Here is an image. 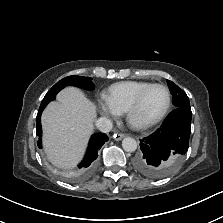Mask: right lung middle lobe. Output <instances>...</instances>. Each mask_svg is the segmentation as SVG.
Returning a JSON list of instances; mask_svg holds the SVG:
<instances>
[{
    "label": "right lung middle lobe",
    "instance_id": "obj_1",
    "mask_svg": "<svg viewBox=\"0 0 223 223\" xmlns=\"http://www.w3.org/2000/svg\"><path fill=\"white\" fill-rule=\"evenodd\" d=\"M68 85H73L76 87H80L86 90L94 89V84L92 82V78L84 77V76H68L63 78L59 82H57L45 95L42 100V103L49 102L55 99L56 94Z\"/></svg>",
    "mask_w": 223,
    "mask_h": 223
}]
</instances>
